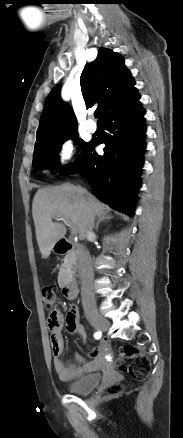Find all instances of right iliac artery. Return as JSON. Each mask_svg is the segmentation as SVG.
<instances>
[{
	"mask_svg": "<svg viewBox=\"0 0 183 438\" xmlns=\"http://www.w3.org/2000/svg\"><path fill=\"white\" fill-rule=\"evenodd\" d=\"M101 336H102V332H101V331H98V332H96V333L94 334L95 339H100Z\"/></svg>",
	"mask_w": 183,
	"mask_h": 438,
	"instance_id": "1",
	"label": "right iliac artery"
}]
</instances>
